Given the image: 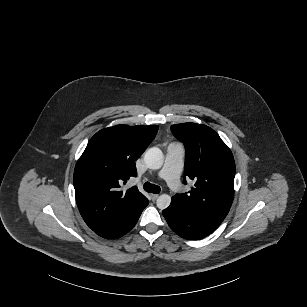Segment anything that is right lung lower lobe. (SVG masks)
I'll use <instances>...</instances> for the list:
<instances>
[{
  "instance_id": "obj_1",
  "label": "right lung lower lobe",
  "mask_w": 307,
  "mask_h": 307,
  "mask_svg": "<svg viewBox=\"0 0 307 307\" xmlns=\"http://www.w3.org/2000/svg\"><path fill=\"white\" fill-rule=\"evenodd\" d=\"M148 203V199L145 198L141 203L132 208L124 217L113 224L94 232L107 239H115L125 235L135 226L143 209L148 205Z\"/></svg>"
}]
</instances>
